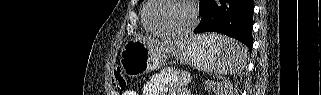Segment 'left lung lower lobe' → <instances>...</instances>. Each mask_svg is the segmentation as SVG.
Instances as JSON below:
<instances>
[{
  "label": "left lung lower lobe",
  "instance_id": "obj_1",
  "mask_svg": "<svg viewBox=\"0 0 321 95\" xmlns=\"http://www.w3.org/2000/svg\"><path fill=\"white\" fill-rule=\"evenodd\" d=\"M253 0H201L202 17L194 33L219 32L244 43L252 50Z\"/></svg>",
  "mask_w": 321,
  "mask_h": 95
}]
</instances>
